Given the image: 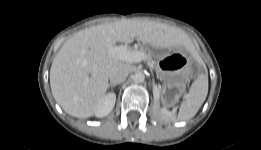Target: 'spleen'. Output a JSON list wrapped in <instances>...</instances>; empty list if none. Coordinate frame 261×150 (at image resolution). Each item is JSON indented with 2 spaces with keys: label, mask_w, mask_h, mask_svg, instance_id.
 Wrapping results in <instances>:
<instances>
[{
  "label": "spleen",
  "mask_w": 261,
  "mask_h": 150,
  "mask_svg": "<svg viewBox=\"0 0 261 150\" xmlns=\"http://www.w3.org/2000/svg\"><path fill=\"white\" fill-rule=\"evenodd\" d=\"M208 94V76L200 75L191 85L188 98L180 105L178 120L193 118L204 103Z\"/></svg>",
  "instance_id": "1"
}]
</instances>
